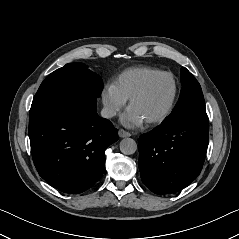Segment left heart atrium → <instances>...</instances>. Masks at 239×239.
<instances>
[{
	"mask_svg": "<svg viewBox=\"0 0 239 239\" xmlns=\"http://www.w3.org/2000/svg\"><path fill=\"white\" fill-rule=\"evenodd\" d=\"M122 123L127 127H137L140 126L144 120L141 118L134 110L130 107L122 115Z\"/></svg>",
	"mask_w": 239,
	"mask_h": 239,
	"instance_id": "1",
	"label": "left heart atrium"
}]
</instances>
